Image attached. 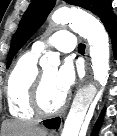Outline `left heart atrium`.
<instances>
[{
    "mask_svg": "<svg viewBox=\"0 0 117 136\" xmlns=\"http://www.w3.org/2000/svg\"><path fill=\"white\" fill-rule=\"evenodd\" d=\"M77 79V70L74 63L67 59L65 60L56 72L55 84L56 87L64 95L70 91Z\"/></svg>",
    "mask_w": 117,
    "mask_h": 136,
    "instance_id": "39dd6f15",
    "label": "left heart atrium"
}]
</instances>
